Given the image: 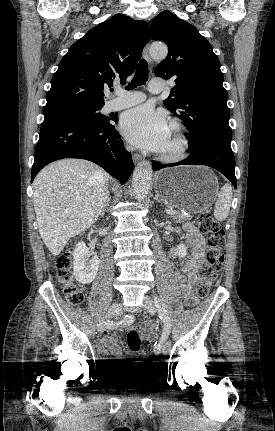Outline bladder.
I'll return each mask as SVG.
<instances>
[{
  "label": "bladder",
  "mask_w": 275,
  "mask_h": 431,
  "mask_svg": "<svg viewBox=\"0 0 275 431\" xmlns=\"http://www.w3.org/2000/svg\"><path fill=\"white\" fill-rule=\"evenodd\" d=\"M116 365H118V364L111 363V364H109V367H115ZM130 368L132 369L131 372H135L134 370L142 369L141 367H136V366H130Z\"/></svg>",
  "instance_id": "obj_1"
}]
</instances>
